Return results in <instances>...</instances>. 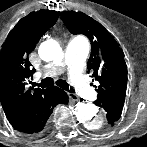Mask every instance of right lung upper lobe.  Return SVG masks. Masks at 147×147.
Wrapping results in <instances>:
<instances>
[{"label": "right lung upper lobe", "mask_w": 147, "mask_h": 147, "mask_svg": "<svg viewBox=\"0 0 147 147\" xmlns=\"http://www.w3.org/2000/svg\"><path fill=\"white\" fill-rule=\"evenodd\" d=\"M59 17V12L41 10L22 18L9 33L0 52V101L8 119L27 109L44 89L27 90L25 80L35 69L28 55L41 36Z\"/></svg>", "instance_id": "cb5924a9"}]
</instances>
